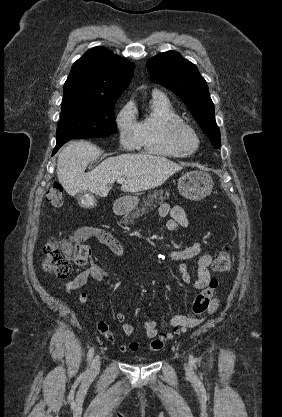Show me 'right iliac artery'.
<instances>
[{
  "label": "right iliac artery",
  "mask_w": 282,
  "mask_h": 417,
  "mask_svg": "<svg viewBox=\"0 0 282 417\" xmlns=\"http://www.w3.org/2000/svg\"><path fill=\"white\" fill-rule=\"evenodd\" d=\"M93 355H94V348H91V349L88 351V353H87V360H88V363H90V362H91V360H92V358H93ZM86 373H88V369L86 370Z\"/></svg>",
  "instance_id": "obj_1"
}]
</instances>
